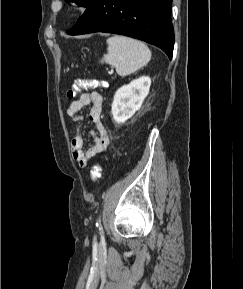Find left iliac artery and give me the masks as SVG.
I'll return each instance as SVG.
<instances>
[{"instance_id":"1","label":"left iliac artery","mask_w":243,"mask_h":289,"mask_svg":"<svg viewBox=\"0 0 243 289\" xmlns=\"http://www.w3.org/2000/svg\"><path fill=\"white\" fill-rule=\"evenodd\" d=\"M99 225H100V220H97L96 227H99Z\"/></svg>"}]
</instances>
